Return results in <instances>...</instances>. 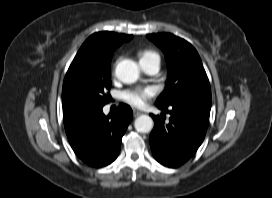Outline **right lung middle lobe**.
<instances>
[{
	"label": "right lung middle lobe",
	"instance_id": "right-lung-middle-lobe-1",
	"mask_svg": "<svg viewBox=\"0 0 272 198\" xmlns=\"http://www.w3.org/2000/svg\"><path fill=\"white\" fill-rule=\"evenodd\" d=\"M111 87L110 67L101 69L88 79L81 82L77 88V96L82 108L103 107L109 102L106 90Z\"/></svg>",
	"mask_w": 272,
	"mask_h": 198
}]
</instances>
